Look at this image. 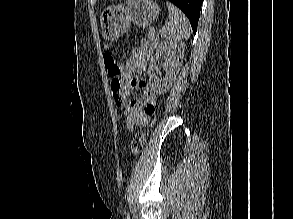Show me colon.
Wrapping results in <instances>:
<instances>
[{
    "mask_svg": "<svg viewBox=\"0 0 293 219\" xmlns=\"http://www.w3.org/2000/svg\"><path fill=\"white\" fill-rule=\"evenodd\" d=\"M104 63L107 68L108 74L113 77V80H112L113 89L118 90L119 89L118 77L121 73L120 64L118 63L114 55L110 53H107L104 56ZM147 112L150 114H153L154 108L149 106L147 108ZM144 142H145V133L144 132L136 133L131 142V150L134 155H138L141 152L144 146Z\"/></svg>",
    "mask_w": 293,
    "mask_h": 219,
    "instance_id": "obj_1",
    "label": "colon"
}]
</instances>
